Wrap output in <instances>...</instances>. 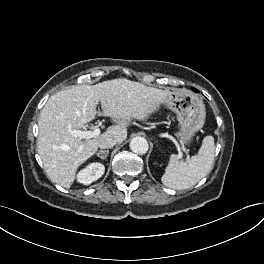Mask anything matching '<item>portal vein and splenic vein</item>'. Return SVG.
<instances>
[{"mask_svg":"<svg viewBox=\"0 0 264 264\" xmlns=\"http://www.w3.org/2000/svg\"><path fill=\"white\" fill-rule=\"evenodd\" d=\"M101 130L100 128H96L93 131H81V130H71L70 134L74 137H79L81 139H90V138H94L97 137L98 135H100ZM182 150L188 154L187 150L185 148H182ZM187 158H189V156H187Z\"/></svg>","mask_w":264,"mask_h":264,"instance_id":"1","label":"portal vein and splenic vein"}]
</instances>
